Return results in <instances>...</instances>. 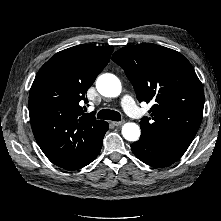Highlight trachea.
<instances>
[{
    "mask_svg": "<svg viewBox=\"0 0 221 221\" xmlns=\"http://www.w3.org/2000/svg\"><path fill=\"white\" fill-rule=\"evenodd\" d=\"M98 119H106V120H112V121H120L121 115L117 111L110 110V109H103L98 112L97 114Z\"/></svg>",
    "mask_w": 221,
    "mask_h": 221,
    "instance_id": "3493384b",
    "label": "trachea"
}]
</instances>
